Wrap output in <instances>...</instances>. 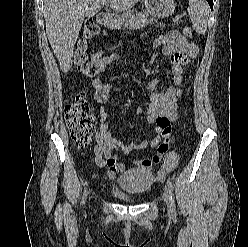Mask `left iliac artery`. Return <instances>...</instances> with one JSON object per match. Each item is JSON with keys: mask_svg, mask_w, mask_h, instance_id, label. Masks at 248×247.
<instances>
[{"mask_svg": "<svg viewBox=\"0 0 248 247\" xmlns=\"http://www.w3.org/2000/svg\"><path fill=\"white\" fill-rule=\"evenodd\" d=\"M167 184L170 188L171 191V201H172V213H176V207H175V201H174V194H173V190H172V182L171 181H167Z\"/></svg>", "mask_w": 248, "mask_h": 247, "instance_id": "left-iliac-artery-1", "label": "left iliac artery"}]
</instances>
